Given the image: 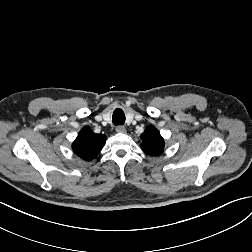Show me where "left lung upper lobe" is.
I'll return each instance as SVG.
<instances>
[{"label": "left lung upper lobe", "mask_w": 252, "mask_h": 252, "mask_svg": "<svg viewBox=\"0 0 252 252\" xmlns=\"http://www.w3.org/2000/svg\"><path fill=\"white\" fill-rule=\"evenodd\" d=\"M140 138L142 140L141 148L148 155L156 156L163 152L164 139L154 126H147Z\"/></svg>", "instance_id": "5c2ea615"}]
</instances>
